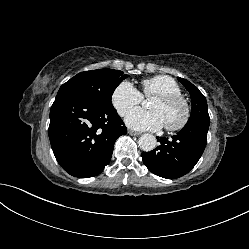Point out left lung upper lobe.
Segmentation results:
<instances>
[{
    "label": "left lung upper lobe",
    "mask_w": 249,
    "mask_h": 249,
    "mask_svg": "<svg viewBox=\"0 0 249 249\" xmlns=\"http://www.w3.org/2000/svg\"><path fill=\"white\" fill-rule=\"evenodd\" d=\"M189 91L192 101V111L188 122L199 118H209L207 101L204 95L192 83L186 79L177 78Z\"/></svg>",
    "instance_id": "left-lung-upper-lobe-1"
}]
</instances>
